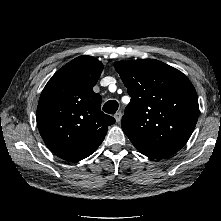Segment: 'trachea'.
<instances>
[{
    "instance_id": "trachea-1",
    "label": "trachea",
    "mask_w": 221,
    "mask_h": 221,
    "mask_svg": "<svg viewBox=\"0 0 221 221\" xmlns=\"http://www.w3.org/2000/svg\"><path fill=\"white\" fill-rule=\"evenodd\" d=\"M118 109V102L116 100L107 101L103 106V111L108 114H114Z\"/></svg>"
}]
</instances>
